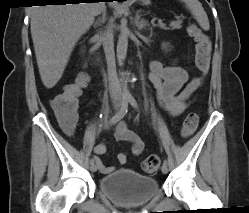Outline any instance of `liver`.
I'll use <instances>...</instances> for the list:
<instances>
[{
	"instance_id": "1",
	"label": "liver",
	"mask_w": 249,
	"mask_h": 213,
	"mask_svg": "<svg viewBox=\"0 0 249 213\" xmlns=\"http://www.w3.org/2000/svg\"><path fill=\"white\" fill-rule=\"evenodd\" d=\"M106 10L104 2L33 6L31 36L43 85L51 89L61 79L75 44Z\"/></svg>"
}]
</instances>
